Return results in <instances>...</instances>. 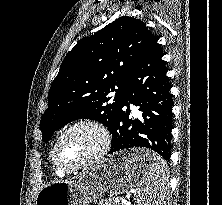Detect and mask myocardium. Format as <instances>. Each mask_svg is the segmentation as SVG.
Returning a JSON list of instances; mask_svg holds the SVG:
<instances>
[{"label":"myocardium","instance_id":"myocardium-1","mask_svg":"<svg viewBox=\"0 0 222 205\" xmlns=\"http://www.w3.org/2000/svg\"><path fill=\"white\" fill-rule=\"evenodd\" d=\"M79 127H89L97 131L101 137L100 146L95 153H93L91 156H89L82 162L74 166H65L60 163L57 156V150H58L59 144L69 132ZM110 143H111V136L107 127L104 124H102L99 121L91 120V119L78 120L70 124L56 139L52 148V152H51L52 161L54 165L62 172L71 173V172L86 168L94 164L95 162L99 161L108 151Z\"/></svg>","mask_w":222,"mask_h":205}]
</instances>
